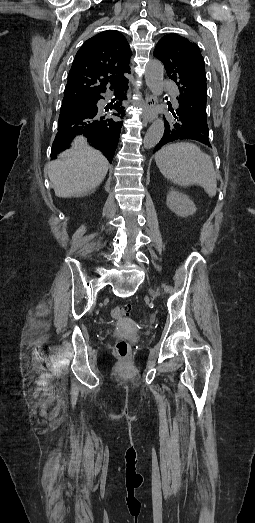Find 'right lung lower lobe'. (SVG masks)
<instances>
[{
    "instance_id": "right-lung-lower-lobe-1",
    "label": "right lung lower lobe",
    "mask_w": 255,
    "mask_h": 523,
    "mask_svg": "<svg viewBox=\"0 0 255 523\" xmlns=\"http://www.w3.org/2000/svg\"><path fill=\"white\" fill-rule=\"evenodd\" d=\"M79 118L84 122L83 140L90 143L94 140L93 122L100 119V107L97 104H92L90 107L83 105L79 108Z\"/></svg>"
}]
</instances>
